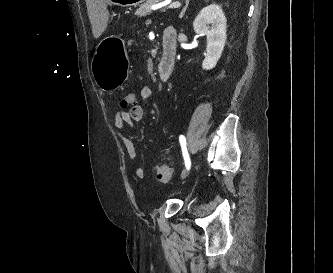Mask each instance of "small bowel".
<instances>
[{
	"mask_svg": "<svg viewBox=\"0 0 333 273\" xmlns=\"http://www.w3.org/2000/svg\"><path fill=\"white\" fill-rule=\"evenodd\" d=\"M140 96L144 100H148L152 97V89L149 86H143L140 90ZM144 117V109L142 106L135 103L130 105V109H120L117 111L114 117V128L120 138L129 160L133 164L134 176L138 179H143L145 176L144 169L136 164V148L133 141L124 134V128L126 124L137 125Z\"/></svg>",
	"mask_w": 333,
	"mask_h": 273,
	"instance_id": "c3829d8e",
	"label": "small bowel"
}]
</instances>
